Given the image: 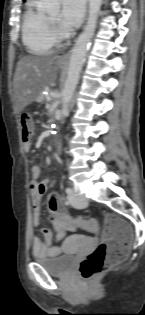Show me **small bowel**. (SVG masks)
<instances>
[{"mask_svg": "<svg viewBox=\"0 0 145 315\" xmlns=\"http://www.w3.org/2000/svg\"><path fill=\"white\" fill-rule=\"evenodd\" d=\"M23 147L24 150L28 152L32 147V143L30 141L25 142ZM30 174L31 181L29 184V190L33 204L32 224L33 226H38L40 223L41 199L47 191L49 181L48 179L39 181L41 176V169L39 166H33L30 170ZM53 226L56 230V234L49 229L44 228L41 229L42 239L37 236L32 238V252L36 257L58 256L61 253L62 248L53 245V243L63 237L66 232L75 231L77 229V227L68 219L55 218Z\"/></svg>", "mask_w": 145, "mask_h": 315, "instance_id": "obj_1", "label": "small bowel"}]
</instances>
